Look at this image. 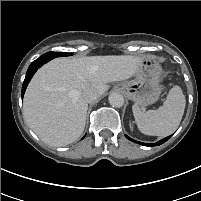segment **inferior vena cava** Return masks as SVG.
Masks as SVG:
<instances>
[{
	"instance_id": "602c4592",
	"label": "inferior vena cava",
	"mask_w": 201,
	"mask_h": 201,
	"mask_svg": "<svg viewBox=\"0 0 201 201\" xmlns=\"http://www.w3.org/2000/svg\"><path fill=\"white\" fill-rule=\"evenodd\" d=\"M82 95H83V98L88 103L95 101L98 97V94L96 93V91L94 89H91V88L84 90Z\"/></svg>"
}]
</instances>
